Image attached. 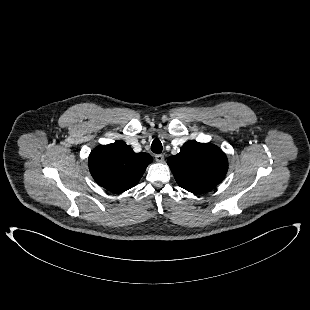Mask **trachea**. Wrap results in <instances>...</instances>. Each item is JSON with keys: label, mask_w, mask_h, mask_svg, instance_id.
Wrapping results in <instances>:
<instances>
[{"label": "trachea", "mask_w": 310, "mask_h": 310, "mask_svg": "<svg viewBox=\"0 0 310 310\" xmlns=\"http://www.w3.org/2000/svg\"><path fill=\"white\" fill-rule=\"evenodd\" d=\"M151 150L154 153L160 154L162 152V143L159 139H154L151 144Z\"/></svg>", "instance_id": "obj_1"}]
</instances>
